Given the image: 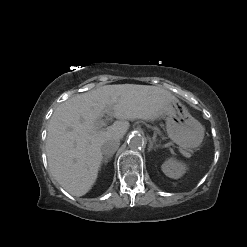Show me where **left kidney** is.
I'll list each match as a JSON object with an SVG mask.
<instances>
[{
	"mask_svg": "<svg viewBox=\"0 0 247 247\" xmlns=\"http://www.w3.org/2000/svg\"><path fill=\"white\" fill-rule=\"evenodd\" d=\"M162 171L163 173L173 179H179L180 177L183 176L186 172V165L182 162H179L175 159H168L166 160L162 166Z\"/></svg>",
	"mask_w": 247,
	"mask_h": 247,
	"instance_id": "obj_1",
	"label": "left kidney"
}]
</instances>
